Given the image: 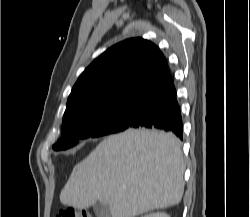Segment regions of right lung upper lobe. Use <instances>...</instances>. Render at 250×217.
<instances>
[{
  "mask_svg": "<svg viewBox=\"0 0 250 217\" xmlns=\"http://www.w3.org/2000/svg\"><path fill=\"white\" fill-rule=\"evenodd\" d=\"M171 78L157 46L142 38L125 40L106 50L80 75L63 121L113 104L139 101Z\"/></svg>",
  "mask_w": 250,
  "mask_h": 217,
  "instance_id": "right-lung-upper-lobe-1",
  "label": "right lung upper lobe"
}]
</instances>
